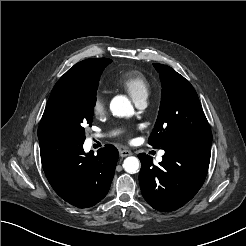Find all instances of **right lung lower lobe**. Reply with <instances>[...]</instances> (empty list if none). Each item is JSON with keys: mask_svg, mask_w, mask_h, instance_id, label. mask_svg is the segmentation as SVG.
Segmentation results:
<instances>
[{"mask_svg": "<svg viewBox=\"0 0 246 246\" xmlns=\"http://www.w3.org/2000/svg\"><path fill=\"white\" fill-rule=\"evenodd\" d=\"M85 138L68 134L39 137L45 175L55 192L79 208L100 202L108 193L116 163L117 149L110 144L94 156L83 150Z\"/></svg>", "mask_w": 246, "mask_h": 246, "instance_id": "obj_1", "label": "right lung lower lobe"}]
</instances>
